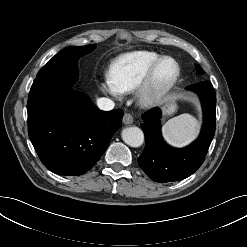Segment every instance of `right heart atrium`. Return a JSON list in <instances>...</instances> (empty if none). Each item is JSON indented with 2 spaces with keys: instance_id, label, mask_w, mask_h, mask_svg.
I'll list each match as a JSON object with an SVG mask.
<instances>
[{
  "instance_id": "right-heart-atrium-1",
  "label": "right heart atrium",
  "mask_w": 247,
  "mask_h": 247,
  "mask_svg": "<svg viewBox=\"0 0 247 247\" xmlns=\"http://www.w3.org/2000/svg\"><path fill=\"white\" fill-rule=\"evenodd\" d=\"M100 88L102 91L114 96L119 97L120 91L114 86L110 78H106L101 84Z\"/></svg>"
}]
</instances>
